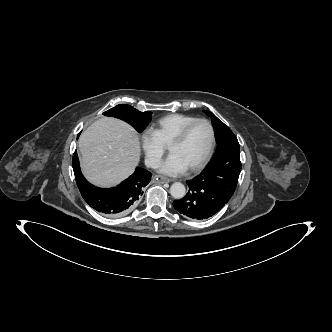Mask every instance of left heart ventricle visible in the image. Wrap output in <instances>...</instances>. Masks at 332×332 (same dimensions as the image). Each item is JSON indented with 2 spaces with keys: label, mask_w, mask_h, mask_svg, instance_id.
Segmentation results:
<instances>
[{
  "label": "left heart ventricle",
  "mask_w": 332,
  "mask_h": 332,
  "mask_svg": "<svg viewBox=\"0 0 332 332\" xmlns=\"http://www.w3.org/2000/svg\"><path fill=\"white\" fill-rule=\"evenodd\" d=\"M211 141V131L206 123L195 124L184 141L169 148L170 153L177 155L189 168L198 162L206 153Z\"/></svg>",
  "instance_id": "1"
}]
</instances>
